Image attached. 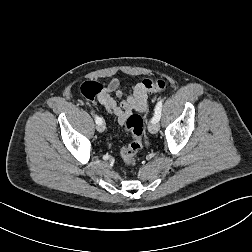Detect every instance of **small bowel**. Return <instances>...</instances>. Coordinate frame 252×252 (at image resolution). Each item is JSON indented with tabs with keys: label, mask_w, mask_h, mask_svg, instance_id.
I'll return each mask as SVG.
<instances>
[{
	"label": "small bowel",
	"mask_w": 252,
	"mask_h": 252,
	"mask_svg": "<svg viewBox=\"0 0 252 252\" xmlns=\"http://www.w3.org/2000/svg\"><path fill=\"white\" fill-rule=\"evenodd\" d=\"M123 96L121 101L117 100ZM98 102L122 126L129 116L146 110L147 90L139 82L131 86L129 91L124 92L121 89L120 81L113 78L102 89Z\"/></svg>",
	"instance_id": "c3829d8e"
}]
</instances>
